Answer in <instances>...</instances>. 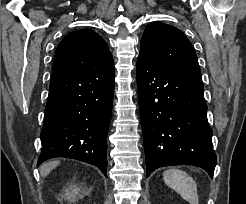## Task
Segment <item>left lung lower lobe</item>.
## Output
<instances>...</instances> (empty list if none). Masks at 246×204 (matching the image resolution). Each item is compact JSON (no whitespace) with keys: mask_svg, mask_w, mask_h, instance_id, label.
<instances>
[{"mask_svg":"<svg viewBox=\"0 0 246 204\" xmlns=\"http://www.w3.org/2000/svg\"><path fill=\"white\" fill-rule=\"evenodd\" d=\"M146 177L171 165H195L213 177L217 157L201 76L138 58L136 66Z\"/></svg>","mask_w":246,"mask_h":204,"instance_id":"left-lung-lower-lobe-1","label":"left lung lower lobe"}]
</instances>
